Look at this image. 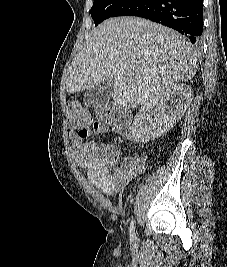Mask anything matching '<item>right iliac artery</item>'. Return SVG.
<instances>
[{"mask_svg": "<svg viewBox=\"0 0 227 267\" xmlns=\"http://www.w3.org/2000/svg\"><path fill=\"white\" fill-rule=\"evenodd\" d=\"M130 237L133 239L135 237V230H134V219L132 218L130 224Z\"/></svg>", "mask_w": 227, "mask_h": 267, "instance_id": "82829eb1", "label": "right iliac artery"}]
</instances>
